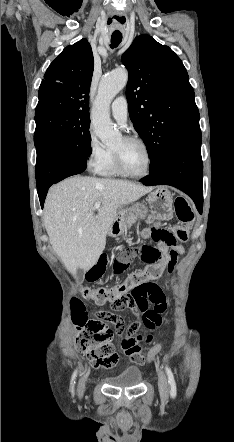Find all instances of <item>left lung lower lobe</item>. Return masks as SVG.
<instances>
[{
	"label": "left lung lower lobe",
	"mask_w": 234,
	"mask_h": 442,
	"mask_svg": "<svg viewBox=\"0 0 234 442\" xmlns=\"http://www.w3.org/2000/svg\"><path fill=\"white\" fill-rule=\"evenodd\" d=\"M140 181L145 185H171L182 190L194 200L201 212L203 164L200 128L190 130L176 139L160 166Z\"/></svg>",
	"instance_id": "0a47b994"
}]
</instances>
